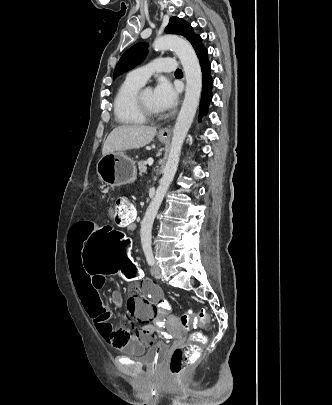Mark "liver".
I'll return each instance as SVG.
<instances>
[{"mask_svg":"<svg viewBox=\"0 0 332 405\" xmlns=\"http://www.w3.org/2000/svg\"><path fill=\"white\" fill-rule=\"evenodd\" d=\"M156 128L144 125H122L114 128L104 142L102 154L138 149L151 143Z\"/></svg>","mask_w":332,"mask_h":405,"instance_id":"6515ba94","label":"liver"}]
</instances>
